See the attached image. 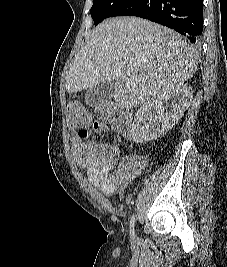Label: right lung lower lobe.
<instances>
[{"instance_id": "98d812e1", "label": "right lung lower lobe", "mask_w": 227, "mask_h": 267, "mask_svg": "<svg viewBox=\"0 0 227 267\" xmlns=\"http://www.w3.org/2000/svg\"><path fill=\"white\" fill-rule=\"evenodd\" d=\"M114 16H137L176 30L191 43L203 31V0H130Z\"/></svg>"}]
</instances>
